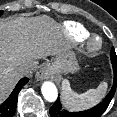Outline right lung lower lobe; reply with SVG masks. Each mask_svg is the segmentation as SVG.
I'll return each mask as SVG.
<instances>
[{
    "instance_id": "98d812e1",
    "label": "right lung lower lobe",
    "mask_w": 117,
    "mask_h": 117,
    "mask_svg": "<svg viewBox=\"0 0 117 117\" xmlns=\"http://www.w3.org/2000/svg\"><path fill=\"white\" fill-rule=\"evenodd\" d=\"M28 82V78H22L16 85L15 89L12 91L9 98L0 105V117H13L16 106L18 94L21 88Z\"/></svg>"
}]
</instances>
